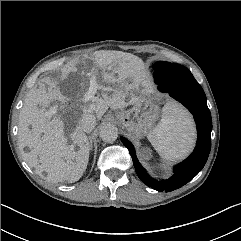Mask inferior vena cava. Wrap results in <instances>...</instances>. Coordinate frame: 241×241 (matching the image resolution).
<instances>
[{
	"label": "inferior vena cava",
	"instance_id": "inferior-vena-cava-1",
	"mask_svg": "<svg viewBox=\"0 0 241 241\" xmlns=\"http://www.w3.org/2000/svg\"><path fill=\"white\" fill-rule=\"evenodd\" d=\"M96 125V117L92 114H84L80 120L79 127L83 132L90 133Z\"/></svg>",
	"mask_w": 241,
	"mask_h": 241
}]
</instances>
